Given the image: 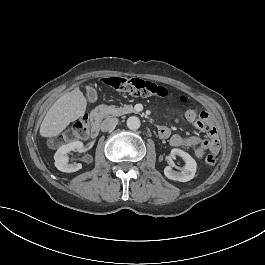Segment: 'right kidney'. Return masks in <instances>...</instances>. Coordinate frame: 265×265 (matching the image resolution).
<instances>
[{
  "instance_id": "right-kidney-1",
  "label": "right kidney",
  "mask_w": 265,
  "mask_h": 265,
  "mask_svg": "<svg viewBox=\"0 0 265 265\" xmlns=\"http://www.w3.org/2000/svg\"><path fill=\"white\" fill-rule=\"evenodd\" d=\"M71 151H84V145L81 141H74L66 145L61 146L55 153V166L58 170L66 173L76 172L82 168V164L73 163L69 164L68 153Z\"/></svg>"
}]
</instances>
